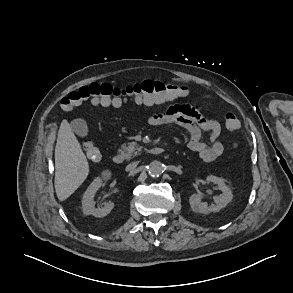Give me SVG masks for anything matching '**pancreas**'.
Here are the masks:
<instances>
[{
	"instance_id": "cf45deb5",
	"label": "pancreas",
	"mask_w": 293,
	"mask_h": 293,
	"mask_svg": "<svg viewBox=\"0 0 293 293\" xmlns=\"http://www.w3.org/2000/svg\"><path fill=\"white\" fill-rule=\"evenodd\" d=\"M122 153L126 159H130L133 154H136V151H141L142 147L139 146L136 142H130L127 145H122Z\"/></svg>"
}]
</instances>
